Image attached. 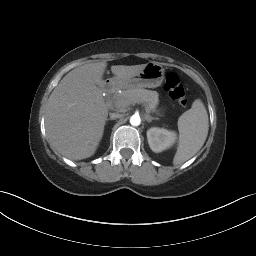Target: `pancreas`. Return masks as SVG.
Listing matches in <instances>:
<instances>
[{"mask_svg": "<svg viewBox=\"0 0 256 256\" xmlns=\"http://www.w3.org/2000/svg\"><path fill=\"white\" fill-rule=\"evenodd\" d=\"M158 93L156 91L131 88L115 95V103L120 108H126L132 104L139 103L149 108L150 112L155 111L159 104Z\"/></svg>", "mask_w": 256, "mask_h": 256, "instance_id": "obj_1", "label": "pancreas"}]
</instances>
